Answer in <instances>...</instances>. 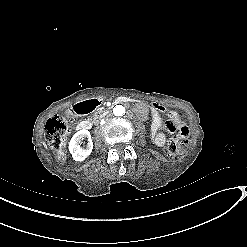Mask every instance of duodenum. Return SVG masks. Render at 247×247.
Returning <instances> with one entry per match:
<instances>
[{"instance_id": "410a0bca", "label": "duodenum", "mask_w": 247, "mask_h": 247, "mask_svg": "<svg viewBox=\"0 0 247 247\" xmlns=\"http://www.w3.org/2000/svg\"><path fill=\"white\" fill-rule=\"evenodd\" d=\"M128 101L129 99L126 97H120L117 99V103H123V102H128ZM99 105H100V101L96 98L83 100V101H80L74 104L70 109V113L72 115L87 114V113L94 111L96 108L99 107ZM91 126H92V123L89 120H83L78 124L77 129L78 130H89Z\"/></svg>"}]
</instances>
